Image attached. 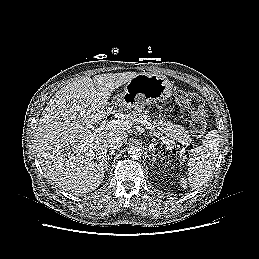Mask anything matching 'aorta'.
Masks as SVG:
<instances>
[{
	"instance_id": "obj_1",
	"label": "aorta",
	"mask_w": 259,
	"mask_h": 259,
	"mask_svg": "<svg viewBox=\"0 0 259 259\" xmlns=\"http://www.w3.org/2000/svg\"><path fill=\"white\" fill-rule=\"evenodd\" d=\"M128 154L130 158L137 160L142 157L143 149L140 146L133 145L129 148Z\"/></svg>"
}]
</instances>
